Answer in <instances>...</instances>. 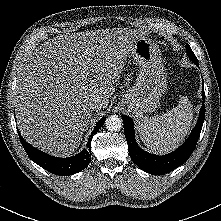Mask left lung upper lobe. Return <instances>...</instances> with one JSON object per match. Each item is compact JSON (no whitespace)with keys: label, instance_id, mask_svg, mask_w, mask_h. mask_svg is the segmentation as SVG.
Returning a JSON list of instances; mask_svg holds the SVG:
<instances>
[{"label":"left lung upper lobe","instance_id":"obj_1","mask_svg":"<svg viewBox=\"0 0 221 221\" xmlns=\"http://www.w3.org/2000/svg\"><path fill=\"white\" fill-rule=\"evenodd\" d=\"M186 51L187 54L189 56V59L196 65H199L198 60L195 56V54L193 53V51L191 50L190 46L188 44H186Z\"/></svg>","mask_w":221,"mask_h":221}]
</instances>
